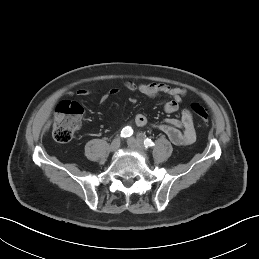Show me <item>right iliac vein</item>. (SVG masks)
Returning <instances> with one entry per match:
<instances>
[{"label":"right iliac vein","instance_id":"1","mask_svg":"<svg viewBox=\"0 0 259 259\" xmlns=\"http://www.w3.org/2000/svg\"><path fill=\"white\" fill-rule=\"evenodd\" d=\"M120 144H121V141H120V138H115L111 144H110V147H109V150L111 152H115L118 150V148L120 147Z\"/></svg>","mask_w":259,"mask_h":259}]
</instances>
